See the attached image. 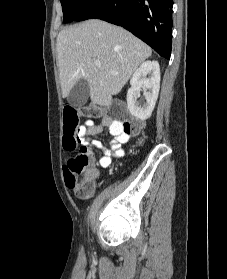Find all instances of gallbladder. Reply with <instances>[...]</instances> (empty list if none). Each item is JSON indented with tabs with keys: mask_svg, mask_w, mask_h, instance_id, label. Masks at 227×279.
<instances>
[{
	"mask_svg": "<svg viewBox=\"0 0 227 279\" xmlns=\"http://www.w3.org/2000/svg\"><path fill=\"white\" fill-rule=\"evenodd\" d=\"M89 93L90 88L87 80L84 78L80 79L73 86L67 97L68 104L74 108L82 107L86 103Z\"/></svg>",
	"mask_w": 227,
	"mask_h": 279,
	"instance_id": "gallbladder-1",
	"label": "gallbladder"
}]
</instances>
